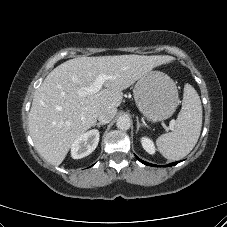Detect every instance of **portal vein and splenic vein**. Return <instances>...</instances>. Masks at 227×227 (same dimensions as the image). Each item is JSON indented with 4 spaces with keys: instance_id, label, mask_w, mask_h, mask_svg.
<instances>
[{
    "instance_id": "portal-vein-and-splenic-vein-1",
    "label": "portal vein and splenic vein",
    "mask_w": 227,
    "mask_h": 227,
    "mask_svg": "<svg viewBox=\"0 0 227 227\" xmlns=\"http://www.w3.org/2000/svg\"><path fill=\"white\" fill-rule=\"evenodd\" d=\"M111 78H112L111 76H108V75H105V74H100L96 78V80L94 81V83L92 85H90L89 87L81 88L79 90V95L85 96L87 94L97 93L102 88L104 82L108 79H111ZM173 127H174V122L171 123L170 128L173 129Z\"/></svg>"
}]
</instances>
